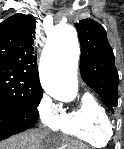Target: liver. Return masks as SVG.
<instances>
[{"mask_svg":"<svg viewBox=\"0 0 124 149\" xmlns=\"http://www.w3.org/2000/svg\"><path fill=\"white\" fill-rule=\"evenodd\" d=\"M0 149H88L83 143L58 137L46 130L34 129L13 136L0 144Z\"/></svg>","mask_w":124,"mask_h":149,"instance_id":"liver-1","label":"liver"}]
</instances>
